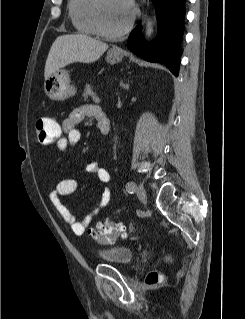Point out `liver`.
<instances>
[{"label": "liver", "mask_w": 245, "mask_h": 319, "mask_svg": "<svg viewBox=\"0 0 245 319\" xmlns=\"http://www.w3.org/2000/svg\"><path fill=\"white\" fill-rule=\"evenodd\" d=\"M108 49V45L84 34H66L56 38L49 51L44 77L74 62L92 63Z\"/></svg>", "instance_id": "6515ba94"}]
</instances>
